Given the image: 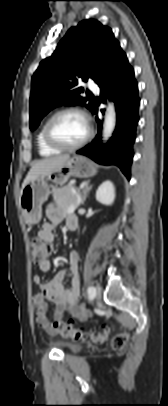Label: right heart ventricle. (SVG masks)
Here are the masks:
<instances>
[{
  "label": "right heart ventricle",
  "instance_id": "e07e8e85",
  "mask_svg": "<svg viewBox=\"0 0 168 406\" xmlns=\"http://www.w3.org/2000/svg\"><path fill=\"white\" fill-rule=\"evenodd\" d=\"M44 126H45V123L40 127V129L38 130L37 135H36V143H37L39 154L41 156H45V157L56 155L61 150L52 148L45 142Z\"/></svg>",
  "mask_w": 168,
  "mask_h": 406
}]
</instances>
